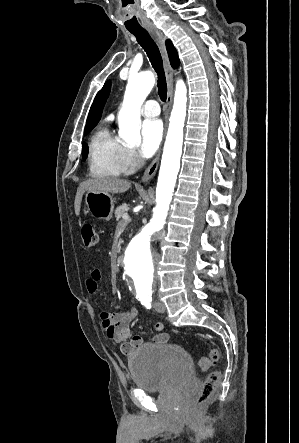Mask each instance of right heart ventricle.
Instances as JSON below:
<instances>
[{
  "label": "right heart ventricle",
  "instance_id": "obj_1",
  "mask_svg": "<svg viewBox=\"0 0 299 443\" xmlns=\"http://www.w3.org/2000/svg\"><path fill=\"white\" fill-rule=\"evenodd\" d=\"M121 142L106 128L98 129L89 143L88 167L93 177H117L122 172Z\"/></svg>",
  "mask_w": 299,
  "mask_h": 443
}]
</instances>
